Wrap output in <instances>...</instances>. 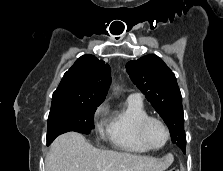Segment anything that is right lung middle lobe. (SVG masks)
<instances>
[{
    "label": "right lung middle lobe",
    "instance_id": "obj_1",
    "mask_svg": "<svg viewBox=\"0 0 223 171\" xmlns=\"http://www.w3.org/2000/svg\"><path fill=\"white\" fill-rule=\"evenodd\" d=\"M100 103L80 100L52 101L48 117L47 145L60 134L75 131L90 134Z\"/></svg>",
    "mask_w": 223,
    "mask_h": 171
}]
</instances>
